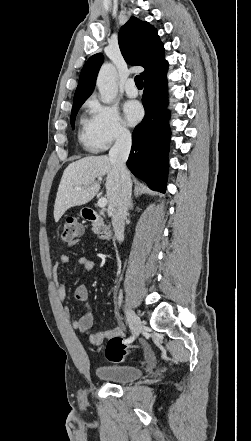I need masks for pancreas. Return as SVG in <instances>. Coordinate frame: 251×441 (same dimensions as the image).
<instances>
[{"label": "pancreas", "instance_id": "obj_1", "mask_svg": "<svg viewBox=\"0 0 251 441\" xmlns=\"http://www.w3.org/2000/svg\"><path fill=\"white\" fill-rule=\"evenodd\" d=\"M92 231L94 232V233H97L98 232V229H97V227L93 224V227H92Z\"/></svg>", "mask_w": 251, "mask_h": 441}]
</instances>
